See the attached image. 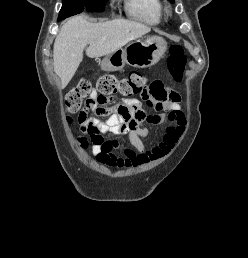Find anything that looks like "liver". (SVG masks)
Masks as SVG:
<instances>
[{"instance_id": "obj_1", "label": "liver", "mask_w": 248, "mask_h": 258, "mask_svg": "<svg viewBox=\"0 0 248 258\" xmlns=\"http://www.w3.org/2000/svg\"><path fill=\"white\" fill-rule=\"evenodd\" d=\"M151 29L139 22L114 19L101 23H90L83 16L69 19L55 39L53 58L54 71L61 79L64 88L74 76L86 55L89 58L107 56Z\"/></svg>"}]
</instances>
